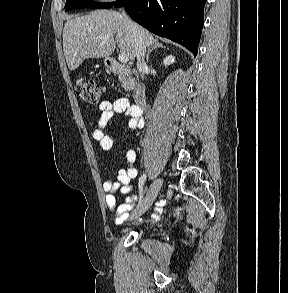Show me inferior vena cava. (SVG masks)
Instances as JSON below:
<instances>
[{
  "label": "inferior vena cava",
  "instance_id": "602c4592",
  "mask_svg": "<svg viewBox=\"0 0 288 293\" xmlns=\"http://www.w3.org/2000/svg\"><path fill=\"white\" fill-rule=\"evenodd\" d=\"M123 16L128 20L129 25L132 28V31L134 34V40H135L137 68H138L139 72L141 73V77L144 78V72L147 68L145 60H144L146 49L142 43V39H141L140 33H139L136 25L126 16L125 13H123Z\"/></svg>",
  "mask_w": 288,
  "mask_h": 293
}]
</instances>
